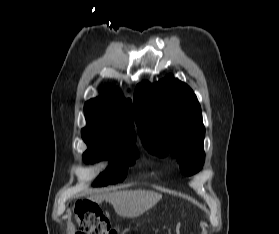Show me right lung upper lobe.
<instances>
[{
	"label": "right lung upper lobe",
	"instance_id": "obj_1",
	"mask_svg": "<svg viewBox=\"0 0 279 234\" xmlns=\"http://www.w3.org/2000/svg\"><path fill=\"white\" fill-rule=\"evenodd\" d=\"M87 126L82 135L106 143H134L132 102L111 85L103 88L101 96L85 103Z\"/></svg>",
	"mask_w": 279,
	"mask_h": 234
}]
</instances>
